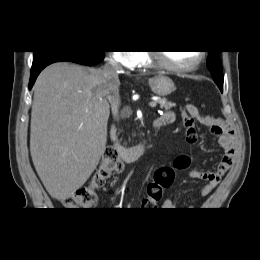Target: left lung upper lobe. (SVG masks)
Segmentation results:
<instances>
[{
	"label": "left lung upper lobe",
	"instance_id": "obj_1",
	"mask_svg": "<svg viewBox=\"0 0 260 260\" xmlns=\"http://www.w3.org/2000/svg\"><path fill=\"white\" fill-rule=\"evenodd\" d=\"M209 57L207 60V67L215 82H223V70L219 58V51H208Z\"/></svg>",
	"mask_w": 260,
	"mask_h": 260
}]
</instances>
